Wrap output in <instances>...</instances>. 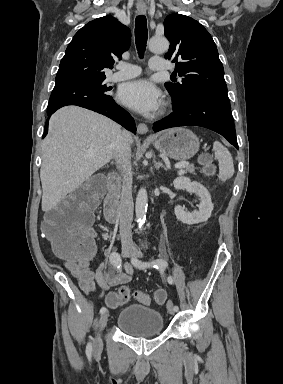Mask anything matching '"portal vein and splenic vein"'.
<instances>
[{"instance_id":"1","label":"portal vein and splenic vein","mask_w":283,"mask_h":384,"mask_svg":"<svg viewBox=\"0 0 283 384\" xmlns=\"http://www.w3.org/2000/svg\"><path fill=\"white\" fill-rule=\"evenodd\" d=\"M91 156V154H89ZM189 166V162H179V164H175V168H178V170H182V168H187Z\"/></svg>"}]
</instances>
